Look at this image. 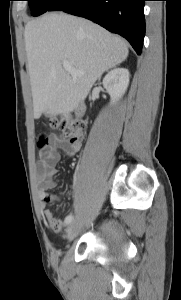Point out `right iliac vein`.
Masks as SVG:
<instances>
[{"label": "right iliac vein", "instance_id": "right-iliac-vein-1", "mask_svg": "<svg viewBox=\"0 0 181 300\" xmlns=\"http://www.w3.org/2000/svg\"><path fill=\"white\" fill-rule=\"evenodd\" d=\"M76 231H77V223L76 221H73L69 224L66 230V237L69 241H71L74 238Z\"/></svg>", "mask_w": 181, "mask_h": 300}]
</instances>
